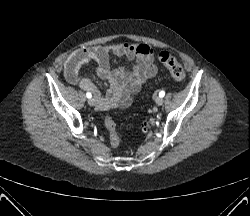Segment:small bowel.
Returning a JSON list of instances; mask_svg holds the SVG:
<instances>
[{
    "label": "small bowel",
    "instance_id": "c3829d8e",
    "mask_svg": "<svg viewBox=\"0 0 250 216\" xmlns=\"http://www.w3.org/2000/svg\"><path fill=\"white\" fill-rule=\"evenodd\" d=\"M111 55L134 62V65L131 68H111ZM90 62L97 64V75L109 82L105 96L101 95L90 79L80 75V69ZM157 70L154 52L149 45L119 43L77 50L65 62L64 76L68 83L92 92L100 110H109L128 106L131 96L138 92L142 84L153 77Z\"/></svg>",
    "mask_w": 250,
    "mask_h": 216
}]
</instances>
